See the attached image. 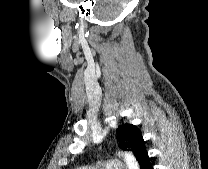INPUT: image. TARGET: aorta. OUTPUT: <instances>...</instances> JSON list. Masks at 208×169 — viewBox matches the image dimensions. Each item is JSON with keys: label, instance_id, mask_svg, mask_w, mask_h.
<instances>
[{"label": "aorta", "instance_id": "obj_1", "mask_svg": "<svg viewBox=\"0 0 208 169\" xmlns=\"http://www.w3.org/2000/svg\"><path fill=\"white\" fill-rule=\"evenodd\" d=\"M123 156L128 169H139V164L131 153H124Z\"/></svg>", "mask_w": 208, "mask_h": 169}]
</instances>
